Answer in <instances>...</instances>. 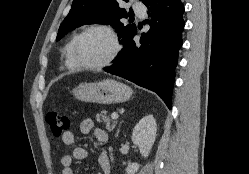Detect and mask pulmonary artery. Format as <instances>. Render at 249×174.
I'll return each mask as SVG.
<instances>
[{
  "label": "pulmonary artery",
  "instance_id": "1",
  "mask_svg": "<svg viewBox=\"0 0 249 174\" xmlns=\"http://www.w3.org/2000/svg\"><path fill=\"white\" fill-rule=\"evenodd\" d=\"M133 10H134V13L139 17H144L147 13L146 7L143 4L138 3V2L133 4Z\"/></svg>",
  "mask_w": 249,
  "mask_h": 174
}]
</instances>
